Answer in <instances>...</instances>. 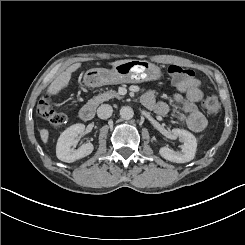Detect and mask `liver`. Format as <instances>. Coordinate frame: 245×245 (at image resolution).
Listing matches in <instances>:
<instances>
[{
    "label": "liver",
    "mask_w": 245,
    "mask_h": 245,
    "mask_svg": "<svg viewBox=\"0 0 245 245\" xmlns=\"http://www.w3.org/2000/svg\"><path fill=\"white\" fill-rule=\"evenodd\" d=\"M128 60H119L111 63V65H116L118 63L126 62ZM81 66V63H74L71 66H69L66 71L62 72L60 75H58L55 80L50 84V86L47 89V92L49 94H57L61 89L66 87L69 83V80L71 78V73L76 71ZM49 132L46 129L40 130V137L43 143H47L48 141Z\"/></svg>",
    "instance_id": "obj_1"
}]
</instances>
